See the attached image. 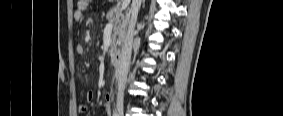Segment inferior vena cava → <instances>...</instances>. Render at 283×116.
<instances>
[{"mask_svg":"<svg viewBox=\"0 0 283 116\" xmlns=\"http://www.w3.org/2000/svg\"><path fill=\"white\" fill-rule=\"evenodd\" d=\"M142 0H132L131 4V18L128 24V30L123 39L120 63L117 68V80H118V93L117 103L123 102V88L127 80V75L130 66V59L132 53V42L134 35V28L137 21V15L141 6Z\"/></svg>","mask_w":283,"mask_h":116,"instance_id":"obj_1","label":"inferior vena cava"}]
</instances>
